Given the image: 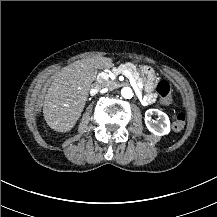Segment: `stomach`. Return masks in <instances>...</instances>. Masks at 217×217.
I'll list each match as a JSON object with an SVG mask.
<instances>
[{
    "label": "stomach",
    "instance_id": "obj_1",
    "mask_svg": "<svg viewBox=\"0 0 217 217\" xmlns=\"http://www.w3.org/2000/svg\"><path fill=\"white\" fill-rule=\"evenodd\" d=\"M139 73L142 78L144 90L146 93H151L155 90L157 79L154 69L148 65H140Z\"/></svg>",
    "mask_w": 217,
    "mask_h": 217
}]
</instances>
